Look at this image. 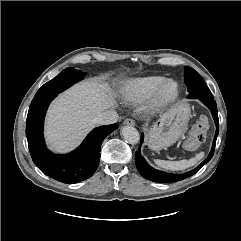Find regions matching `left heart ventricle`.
Here are the masks:
<instances>
[{
  "label": "left heart ventricle",
  "mask_w": 241,
  "mask_h": 241,
  "mask_svg": "<svg viewBox=\"0 0 241 241\" xmlns=\"http://www.w3.org/2000/svg\"><path fill=\"white\" fill-rule=\"evenodd\" d=\"M170 90H171V88H170V87H168V88L166 89L165 93H169V92H170Z\"/></svg>",
  "instance_id": "left-heart-ventricle-1"
}]
</instances>
